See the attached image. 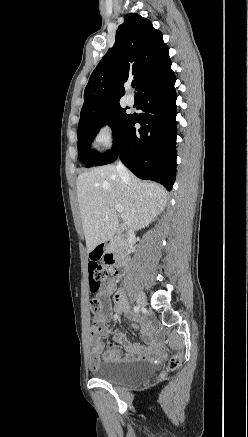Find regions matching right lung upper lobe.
I'll return each instance as SVG.
<instances>
[{
    "instance_id": "right-lung-upper-lobe-1",
    "label": "right lung upper lobe",
    "mask_w": 248,
    "mask_h": 437,
    "mask_svg": "<svg viewBox=\"0 0 248 437\" xmlns=\"http://www.w3.org/2000/svg\"><path fill=\"white\" fill-rule=\"evenodd\" d=\"M169 59L162 33L136 13L126 15L118 27L115 45L92 72L84 91L80 121L120 105L124 83L130 77L136 90Z\"/></svg>"
}]
</instances>
